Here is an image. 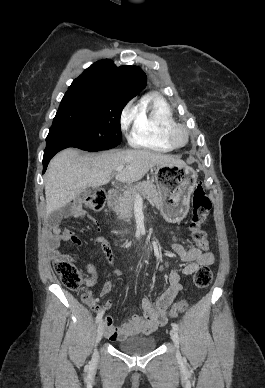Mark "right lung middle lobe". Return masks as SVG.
<instances>
[{
	"label": "right lung middle lobe",
	"mask_w": 265,
	"mask_h": 388,
	"mask_svg": "<svg viewBox=\"0 0 265 388\" xmlns=\"http://www.w3.org/2000/svg\"><path fill=\"white\" fill-rule=\"evenodd\" d=\"M130 99L105 93H66L49 134L46 150L58 146L100 151L121 143L120 116Z\"/></svg>",
	"instance_id": "obj_1"
}]
</instances>
